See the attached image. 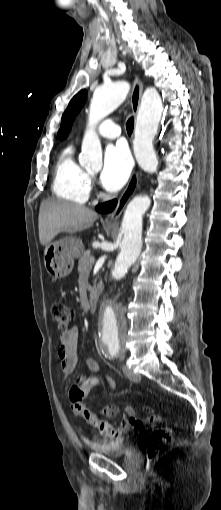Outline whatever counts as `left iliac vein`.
I'll return each instance as SVG.
<instances>
[{
  "label": "left iliac vein",
  "mask_w": 221,
  "mask_h": 510,
  "mask_svg": "<svg viewBox=\"0 0 221 510\" xmlns=\"http://www.w3.org/2000/svg\"><path fill=\"white\" fill-rule=\"evenodd\" d=\"M123 354H120V357H123ZM124 374L126 377L131 380L132 382H139L141 377L139 374L134 373L127 365H123L122 367Z\"/></svg>",
  "instance_id": "left-iliac-vein-1"
}]
</instances>
